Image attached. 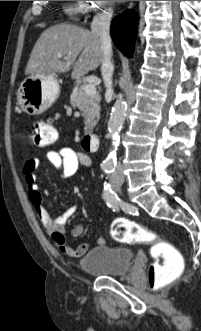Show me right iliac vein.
Listing matches in <instances>:
<instances>
[{
    "label": "right iliac vein",
    "instance_id": "obj_1",
    "mask_svg": "<svg viewBox=\"0 0 201 331\" xmlns=\"http://www.w3.org/2000/svg\"><path fill=\"white\" fill-rule=\"evenodd\" d=\"M118 185H120V183L119 182H116Z\"/></svg>",
    "mask_w": 201,
    "mask_h": 331
}]
</instances>
